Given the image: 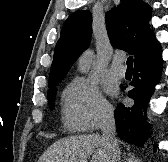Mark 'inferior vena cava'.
I'll use <instances>...</instances> for the list:
<instances>
[{"mask_svg":"<svg viewBox=\"0 0 168 162\" xmlns=\"http://www.w3.org/2000/svg\"><path fill=\"white\" fill-rule=\"evenodd\" d=\"M101 130L102 140L109 152L110 162H120V149L115 137L116 126L114 112L112 109H106L103 112Z\"/></svg>","mask_w":168,"mask_h":162,"instance_id":"obj_1","label":"inferior vena cava"}]
</instances>
